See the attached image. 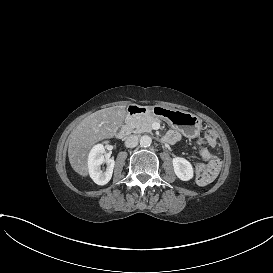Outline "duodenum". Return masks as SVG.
Segmentation results:
<instances>
[{"mask_svg": "<svg viewBox=\"0 0 273 273\" xmlns=\"http://www.w3.org/2000/svg\"><path fill=\"white\" fill-rule=\"evenodd\" d=\"M147 113V110L143 107H137V106H132L128 109V113H127V122H129L132 118L138 116V115H144ZM130 132V129L127 125L123 126L118 134H117V137L119 139H123L125 138Z\"/></svg>", "mask_w": 273, "mask_h": 273, "instance_id": "obj_1", "label": "duodenum"}]
</instances>
